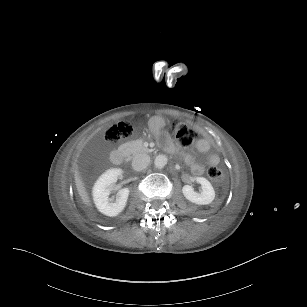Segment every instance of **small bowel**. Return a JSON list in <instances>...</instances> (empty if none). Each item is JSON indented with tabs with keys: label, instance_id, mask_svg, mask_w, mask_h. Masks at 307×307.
Masks as SVG:
<instances>
[{
	"label": "small bowel",
	"instance_id": "c3829d8e",
	"mask_svg": "<svg viewBox=\"0 0 307 307\" xmlns=\"http://www.w3.org/2000/svg\"><path fill=\"white\" fill-rule=\"evenodd\" d=\"M195 149L198 153L205 155L206 164L213 166L217 165L220 162V157L216 153H212L211 150V141L209 138H200L196 145ZM187 163L190 165L191 170L196 175H201L205 171V164L196 160L193 154H188L186 157Z\"/></svg>",
	"mask_w": 307,
	"mask_h": 307
}]
</instances>
